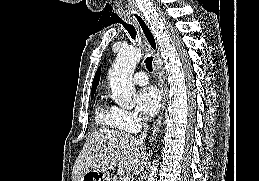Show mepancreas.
Here are the masks:
<instances>
[{
    "label": "pancreas",
    "instance_id": "cf45deb5",
    "mask_svg": "<svg viewBox=\"0 0 259 181\" xmlns=\"http://www.w3.org/2000/svg\"><path fill=\"white\" fill-rule=\"evenodd\" d=\"M113 181H119V178H118L117 176H115V177L113 178Z\"/></svg>",
    "mask_w": 259,
    "mask_h": 181
}]
</instances>
